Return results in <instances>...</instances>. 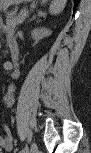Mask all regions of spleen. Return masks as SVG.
<instances>
[{
  "mask_svg": "<svg viewBox=\"0 0 91 153\" xmlns=\"http://www.w3.org/2000/svg\"><path fill=\"white\" fill-rule=\"evenodd\" d=\"M66 5V1L65 0H54L52 1V3L50 4L49 7V12L52 15H57L60 12L63 11V9L65 8Z\"/></svg>",
  "mask_w": 91,
  "mask_h": 153,
  "instance_id": "1",
  "label": "spleen"
}]
</instances>
